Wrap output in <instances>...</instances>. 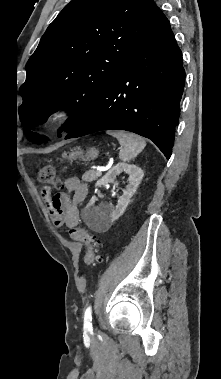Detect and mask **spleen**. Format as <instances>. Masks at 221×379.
<instances>
[{"label": "spleen", "instance_id": "obj_1", "mask_svg": "<svg viewBox=\"0 0 221 379\" xmlns=\"http://www.w3.org/2000/svg\"><path fill=\"white\" fill-rule=\"evenodd\" d=\"M121 145L119 158L126 162L134 159L146 146L145 140L133 133L117 131L111 132Z\"/></svg>", "mask_w": 221, "mask_h": 379}]
</instances>
